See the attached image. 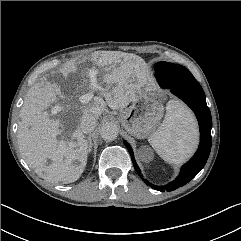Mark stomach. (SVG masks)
Wrapping results in <instances>:
<instances>
[{
    "label": "stomach",
    "mask_w": 241,
    "mask_h": 241,
    "mask_svg": "<svg viewBox=\"0 0 241 241\" xmlns=\"http://www.w3.org/2000/svg\"><path fill=\"white\" fill-rule=\"evenodd\" d=\"M162 102L153 93H143L124 110L119 121L123 128L136 138H144L152 133L163 117Z\"/></svg>",
    "instance_id": "1"
}]
</instances>
